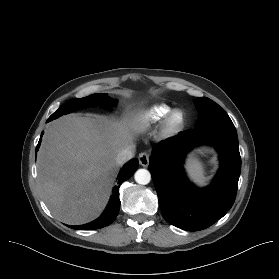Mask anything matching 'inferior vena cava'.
<instances>
[{"mask_svg": "<svg viewBox=\"0 0 279 279\" xmlns=\"http://www.w3.org/2000/svg\"><path fill=\"white\" fill-rule=\"evenodd\" d=\"M135 153V147L134 146H129L123 150H121L116 157V164L117 165H122L125 162L129 161L134 157Z\"/></svg>", "mask_w": 279, "mask_h": 279, "instance_id": "inferior-vena-cava-1", "label": "inferior vena cava"}]
</instances>
